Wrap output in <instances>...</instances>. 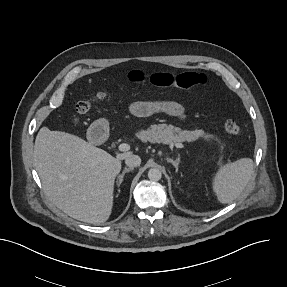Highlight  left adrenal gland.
<instances>
[{"label":"left adrenal gland","instance_id":"obj_1","mask_svg":"<svg viewBox=\"0 0 287 287\" xmlns=\"http://www.w3.org/2000/svg\"><path fill=\"white\" fill-rule=\"evenodd\" d=\"M166 160L171 163L175 167L176 172H178L179 159L173 160L171 158H166Z\"/></svg>","mask_w":287,"mask_h":287}]
</instances>
